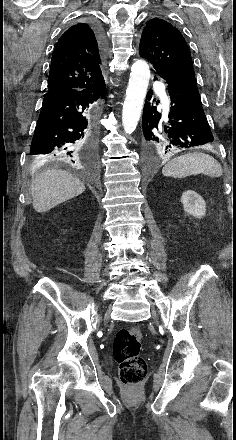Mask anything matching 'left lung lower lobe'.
<instances>
[{"instance_id":"left-lung-lower-lobe-1","label":"left lung lower lobe","mask_w":236,"mask_h":440,"mask_svg":"<svg viewBox=\"0 0 236 440\" xmlns=\"http://www.w3.org/2000/svg\"><path fill=\"white\" fill-rule=\"evenodd\" d=\"M164 82L168 84L172 105L166 120L156 110L152 91L148 92L144 105L143 141L148 155L172 154L213 142L195 76L177 75Z\"/></svg>"}]
</instances>
